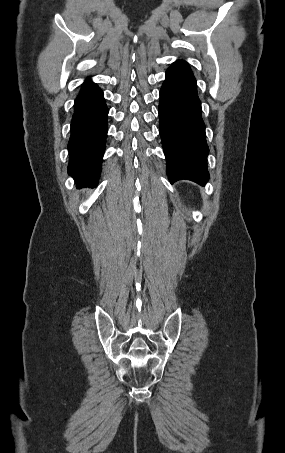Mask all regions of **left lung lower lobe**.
I'll use <instances>...</instances> for the list:
<instances>
[{
  "instance_id": "1",
  "label": "left lung lower lobe",
  "mask_w": 285,
  "mask_h": 453,
  "mask_svg": "<svg viewBox=\"0 0 285 453\" xmlns=\"http://www.w3.org/2000/svg\"><path fill=\"white\" fill-rule=\"evenodd\" d=\"M158 112L171 183L185 179L204 185L209 148L196 79L186 62L177 61L166 71Z\"/></svg>"
}]
</instances>
